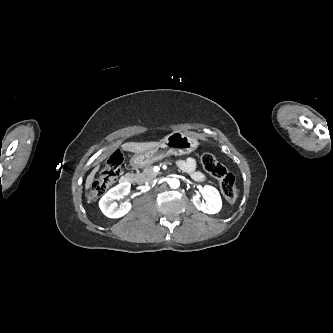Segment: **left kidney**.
Segmentation results:
<instances>
[{"label":"left kidney","instance_id":"5707ae66","mask_svg":"<svg viewBox=\"0 0 333 333\" xmlns=\"http://www.w3.org/2000/svg\"><path fill=\"white\" fill-rule=\"evenodd\" d=\"M201 194L206 202L201 201L200 196L195 194L192 200L195 207L204 213H218L222 207V200L218 190L210 185H206L202 188Z\"/></svg>","mask_w":333,"mask_h":333}]
</instances>
